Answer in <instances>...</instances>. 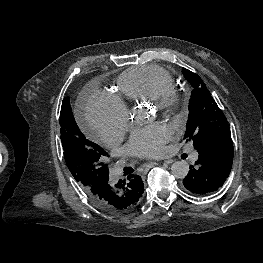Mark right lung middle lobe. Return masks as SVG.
<instances>
[{
	"instance_id": "dd1d6c3e",
	"label": "right lung middle lobe",
	"mask_w": 263,
	"mask_h": 263,
	"mask_svg": "<svg viewBox=\"0 0 263 263\" xmlns=\"http://www.w3.org/2000/svg\"><path fill=\"white\" fill-rule=\"evenodd\" d=\"M59 123L64 158L75 180L85 190L105 182L109 178L108 154L80 131L69 97L62 102Z\"/></svg>"
}]
</instances>
